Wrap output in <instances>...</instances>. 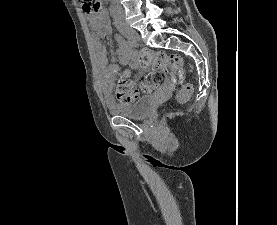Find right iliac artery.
Returning <instances> with one entry per match:
<instances>
[{"instance_id": "obj_1", "label": "right iliac artery", "mask_w": 277, "mask_h": 225, "mask_svg": "<svg viewBox=\"0 0 277 225\" xmlns=\"http://www.w3.org/2000/svg\"><path fill=\"white\" fill-rule=\"evenodd\" d=\"M119 36H120V35H119ZM120 37L124 40V38H123L122 36H120ZM125 43H126V45H127L128 47H130V48H132L133 45H134L133 41L130 40V39H128Z\"/></svg>"}]
</instances>
